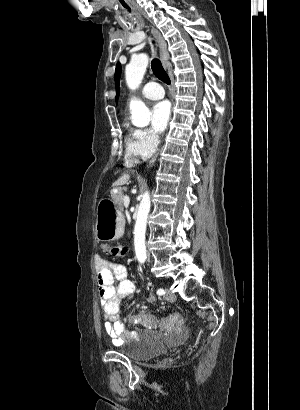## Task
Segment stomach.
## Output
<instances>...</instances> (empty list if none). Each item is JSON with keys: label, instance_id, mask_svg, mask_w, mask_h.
<instances>
[{"label": "stomach", "instance_id": "stomach-1", "mask_svg": "<svg viewBox=\"0 0 300 410\" xmlns=\"http://www.w3.org/2000/svg\"><path fill=\"white\" fill-rule=\"evenodd\" d=\"M124 216L109 199H102L97 207L95 224L96 236L99 241H113L119 239L124 232Z\"/></svg>", "mask_w": 300, "mask_h": 410}]
</instances>
